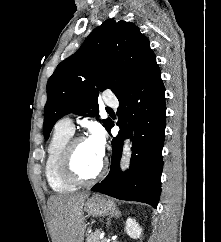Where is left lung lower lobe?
Here are the masks:
<instances>
[{"mask_svg": "<svg viewBox=\"0 0 221 242\" xmlns=\"http://www.w3.org/2000/svg\"><path fill=\"white\" fill-rule=\"evenodd\" d=\"M120 131L112 140V162L108 176L92 191L157 207L161 193L162 148L165 131V89L158 65L142 79L117 95ZM114 124L111 123L108 132ZM125 138L133 142L129 169L121 172L119 161Z\"/></svg>", "mask_w": 221, "mask_h": 242, "instance_id": "obj_1", "label": "left lung lower lobe"}]
</instances>
